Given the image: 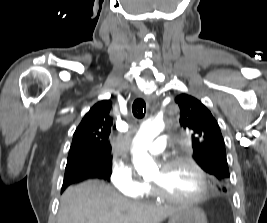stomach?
<instances>
[{
	"instance_id": "stomach-1",
	"label": "stomach",
	"mask_w": 267,
	"mask_h": 223,
	"mask_svg": "<svg viewBox=\"0 0 267 223\" xmlns=\"http://www.w3.org/2000/svg\"><path fill=\"white\" fill-rule=\"evenodd\" d=\"M168 223H207L203 210L192 205H182L169 217Z\"/></svg>"
}]
</instances>
